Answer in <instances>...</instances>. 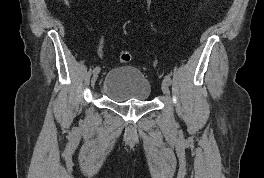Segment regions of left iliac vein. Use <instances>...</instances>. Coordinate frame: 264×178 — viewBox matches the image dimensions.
I'll return each instance as SVG.
<instances>
[{"label":"left iliac vein","mask_w":264,"mask_h":178,"mask_svg":"<svg viewBox=\"0 0 264 178\" xmlns=\"http://www.w3.org/2000/svg\"><path fill=\"white\" fill-rule=\"evenodd\" d=\"M161 88H162L163 94L169 95V84L165 80L162 81Z\"/></svg>","instance_id":"left-iliac-vein-1"}]
</instances>
